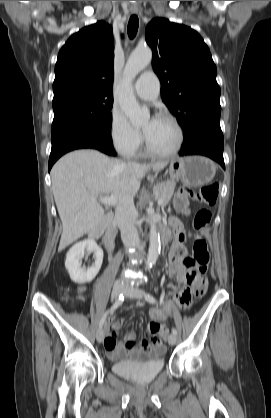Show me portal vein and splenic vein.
<instances>
[{"instance_id": "1", "label": "portal vein and splenic vein", "mask_w": 271, "mask_h": 418, "mask_svg": "<svg viewBox=\"0 0 271 418\" xmlns=\"http://www.w3.org/2000/svg\"><path fill=\"white\" fill-rule=\"evenodd\" d=\"M99 201L106 205H116L118 203V200L113 195H110L109 197H100ZM158 205H162V199H158Z\"/></svg>"}]
</instances>
